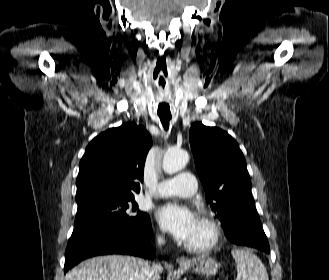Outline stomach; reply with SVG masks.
Here are the masks:
<instances>
[{
	"instance_id": "1",
	"label": "stomach",
	"mask_w": 329,
	"mask_h": 280,
	"mask_svg": "<svg viewBox=\"0 0 329 280\" xmlns=\"http://www.w3.org/2000/svg\"><path fill=\"white\" fill-rule=\"evenodd\" d=\"M181 268L188 270L191 266H181ZM220 269V264L212 258L199 259L195 266L192 267V271L203 276L215 275Z\"/></svg>"
}]
</instances>
